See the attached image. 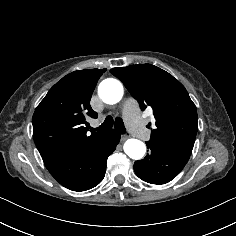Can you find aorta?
I'll return each mask as SVG.
<instances>
[{"mask_svg":"<svg viewBox=\"0 0 236 236\" xmlns=\"http://www.w3.org/2000/svg\"><path fill=\"white\" fill-rule=\"evenodd\" d=\"M123 86L120 81L108 78L103 80L98 87V94L103 102L107 104H116L123 97ZM124 152L134 160H140L146 153L144 142L138 139H128L124 143Z\"/></svg>","mask_w":236,"mask_h":236,"instance_id":"aorta-1","label":"aorta"}]
</instances>
